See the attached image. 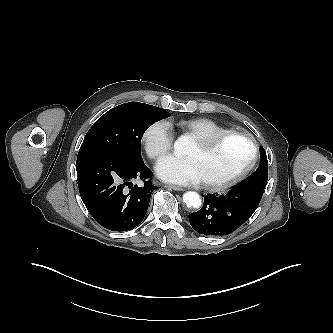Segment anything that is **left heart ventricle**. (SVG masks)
Instances as JSON below:
<instances>
[{
	"label": "left heart ventricle",
	"mask_w": 333,
	"mask_h": 333,
	"mask_svg": "<svg viewBox=\"0 0 333 333\" xmlns=\"http://www.w3.org/2000/svg\"><path fill=\"white\" fill-rule=\"evenodd\" d=\"M186 156L196 162L203 181L218 182L245 166L250 157V148L241 138H230L211 151H203L193 142Z\"/></svg>",
	"instance_id": "1"
}]
</instances>
